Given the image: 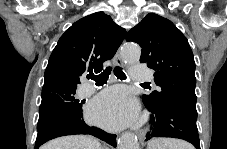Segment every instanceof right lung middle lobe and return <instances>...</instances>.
<instances>
[{"mask_svg":"<svg viewBox=\"0 0 227 149\" xmlns=\"http://www.w3.org/2000/svg\"><path fill=\"white\" fill-rule=\"evenodd\" d=\"M76 85L55 84L42 89L39 121L62 113L82 114V103L74 97Z\"/></svg>","mask_w":227,"mask_h":149,"instance_id":"obj_1","label":"right lung middle lobe"}]
</instances>
